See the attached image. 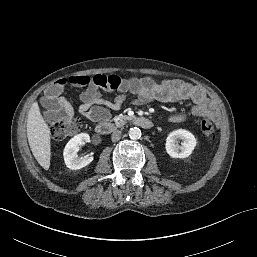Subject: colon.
Instances as JSON below:
<instances>
[{
	"mask_svg": "<svg viewBox=\"0 0 257 257\" xmlns=\"http://www.w3.org/2000/svg\"><path fill=\"white\" fill-rule=\"evenodd\" d=\"M69 82L74 85L84 86L89 82V79L86 76H73L69 78ZM66 83L67 79L58 80L52 85L51 92L58 94ZM200 128L206 137L214 138V125L209 118L205 117L201 120ZM81 129V121L72 115L69 107H63L60 110L58 120L51 126L50 133L54 140L62 141L77 134Z\"/></svg>",
	"mask_w": 257,
	"mask_h": 257,
	"instance_id": "colon-1",
	"label": "colon"
}]
</instances>
